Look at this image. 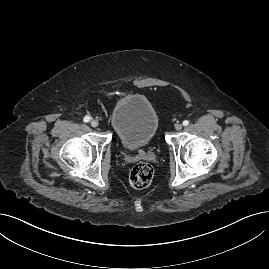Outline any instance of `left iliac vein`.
<instances>
[{
  "label": "left iliac vein",
  "mask_w": 269,
  "mask_h": 269,
  "mask_svg": "<svg viewBox=\"0 0 269 269\" xmlns=\"http://www.w3.org/2000/svg\"><path fill=\"white\" fill-rule=\"evenodd\" d=\"M182 129V125L181 124H176L175 125V130L180 131Z\"/></svg>",
  "instance_id": "obj_1"
}]
</instances>
